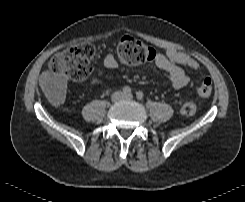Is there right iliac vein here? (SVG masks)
I'll use <instances>...</instances> for the list:
<instances>
[{"label":"right iliac vein","instance_id":"obj_1","mask_svg":"<svg viewBox=\"0 0 245 202\" xmlns=\"http://www.w3.org/2000/svg\"><path fill=\"white\" fill-rule=\"evenodd\" d=\"M123 98V94L122 92H115L113 95H112V101L113 102H118L120 101L121 99Z\"/></svg>","mask_w":245,"mask_h":202}]
</instances>
